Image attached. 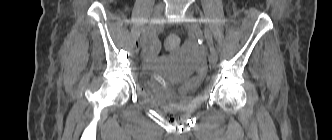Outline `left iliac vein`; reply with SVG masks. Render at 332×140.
Masks as SVG:
<instances>
[{
    "label": "left iliac vein",
    "instance_id": "left-iliac-vein-1",
    "mask_svg": "<svg viewBox=\"0 0 332 140\" xmlns=\"http://www.w3.org/2000/svg\"><path fill=\"white\" fill-rule=\"evenodd\" d=\"M185 25H186V27L188 28L189 31H191V32L198 35L197 26H196V23H195V19L193 17V12L191 10H188L187 13H186ZM209 62L212 66H215L216 63H217V59L212 54H210L209 55Z\"/></svg>",
    "mask_w": 332,
    "mask_h": 140
}]
</instances>
